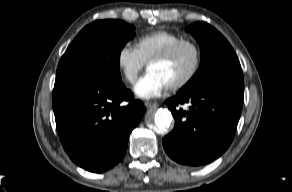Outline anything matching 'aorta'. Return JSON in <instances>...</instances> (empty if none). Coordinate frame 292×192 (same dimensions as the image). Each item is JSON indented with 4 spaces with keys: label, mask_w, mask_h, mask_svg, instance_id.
Segmentation results:
<instances>
[{
    "label": "aorta",
    "mask_w": 292,
    "mask_h": 192,
    "mask_svg": "<svg viewBox=\"0 0 292 192\" xmlns=\"http://www.w3.org/2000/svg\"><path fill=\"white\" fill-rule=\"evenodd\" d=\"M172 120V114L167 109H159L155 113L154 122L159 131L167 130L170 127Z\"/></svg>",
    "instance_id": "1"
}]
</instances>
